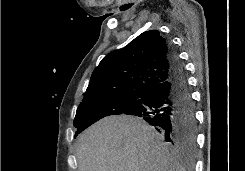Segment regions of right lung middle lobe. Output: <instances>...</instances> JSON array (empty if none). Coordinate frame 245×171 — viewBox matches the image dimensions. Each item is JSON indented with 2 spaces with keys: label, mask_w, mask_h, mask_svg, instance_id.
I'll use <instances>...</instances> for the list:
<instances>
[{
  "label": "right lung middle lobe",
  "mask_w": 245,
  "mask_h": 171,
  "mask_svg": "<svg viewBox=\"0 0 245 171\" xmlns=\"http://www.w3.org/2000/svg\"><path fill=\"white\" fill-rule=\"evenodd\" d=\"M139 97L137 95H119L98 100L82 101L74 119V126L76 127L75 137L103 117L122 114Z\"/></svg>",
  "instance_id": "obj_1"
}]
</instances>
